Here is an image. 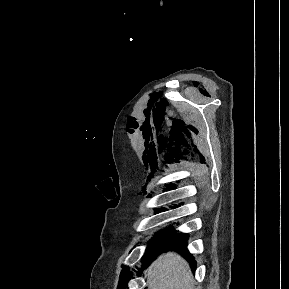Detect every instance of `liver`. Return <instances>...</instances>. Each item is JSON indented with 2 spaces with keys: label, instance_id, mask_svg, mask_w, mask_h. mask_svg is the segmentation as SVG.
<instances>
[{
  "label": "liver",
  "instance_id": "6515ba94",
  "mask_svg": "<svg viewBox=\"0 0 289 289\" xmlns=\"http://www.w3.org/2000/svg\"><path fill=\"white\" fill-rule=\"evenodd\" d=\"M148 289H196L188 263L177 253L162 254L152 265Z\"/></svg>",
  "mask_w": 289,
  "mask_h": 289
}]
</instances>
